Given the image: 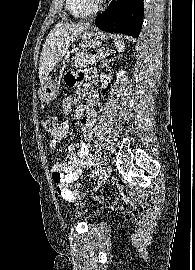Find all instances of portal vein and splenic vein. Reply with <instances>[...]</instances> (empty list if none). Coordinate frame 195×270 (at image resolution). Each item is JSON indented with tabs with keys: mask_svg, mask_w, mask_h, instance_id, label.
<instances>
[{
	"mask_svg": "<svg viewBox=\"0 0 195 270\" xmlns=\"http://www.w3.org/2000/svg\"><path fill=\"white\" fill-rule=\"evenodd\" d=\"M100 57H102V58H105V57H107L109 54L108 53H105V52H101V53H99L98 54Z\"/></svg>",
	"mask_w": 195,
	"mask_h": 270,
	"instance_id": "18ae733b",
	"label": "portal vein and splenic vein"
}]
</instances>
